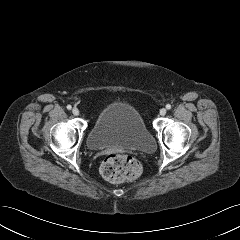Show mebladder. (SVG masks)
Returning <instances> with one entry per match:
<instances>
[{
	"label": "bladder",
	"instance_id": "bladder-1",
	"mask_svg": "<svg viewBox=\"0 0 240 240\" xmlns=\"http://www.w3.org/2000/svg\"><path fill=\"white\" fill-rule=\"evenodd\" d=\"M87 145L91 150L113 147L151 152L155 141L136 108L114 102L97 116L88 133Z\"/></svg>",
	"mask_w": 240,
	"mask_h": 240
}]
</instances>
